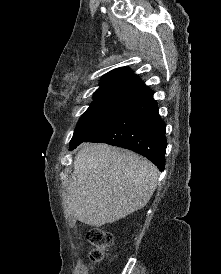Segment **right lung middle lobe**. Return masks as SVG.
Segmentation results:
<instances>
[{
	"label": "right lung middle lobe",
	"instance_id": "dd1d6c3e",
	"mask_svg": "<svg viewBox=\"0 0 221 274\" xmlns=\"http://www.w3.org/2000/svg\"><path fill=\"white\" fill-rule=\"evenodd\" d=\"M132 102L125 99H94L77 123L70 150L103 129Z\"/></svg>",
	"mask_w": 221,
	"mask_h": 274
}]
</instances>
